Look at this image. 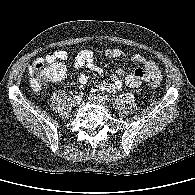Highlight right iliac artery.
<instances>
[{"instance_id":"right-iliac-artery-1","label":"right iliac artery","mask_w":195,"mask_h":195,"mask_svg":"<svg viewBox=\"0 0 195 195\" xmlns=\"http://www.w3.org/2000/svg\"><path fill=\"white\" fill-rule=\"evenodd\" d=\"M83 95H84L83 92H79V93H78V97H82Z\"/></svg>"}]
</instances>
